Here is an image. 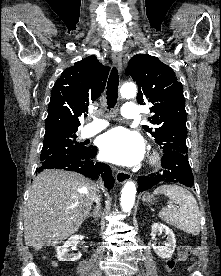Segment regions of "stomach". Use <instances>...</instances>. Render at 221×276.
<instances>
[{
	"label": "stomach",
	"mask_w": 221,
	"mask_h": 276,
	"mask_svg": "<svg viewBox=\"0 0 221 276\" xmlns=\"http://www.w3.org/2000/svg\"><path fill=\"white\" fill-rule=\"evenodd\" d=\"M152 199V196L151 195H144L143 197H142V200L144 201V202H150V200Z\"/></svg>",
	"instance_id": "stomach-1"
}]
</instances>
